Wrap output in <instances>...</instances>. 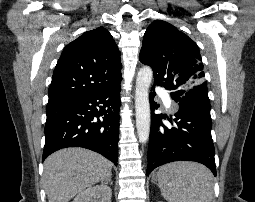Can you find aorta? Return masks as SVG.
<instances>
[{
	"instance_id": "762f6f07",
	"label": "aorta",
	"mask_w": 255,
	"mask_h": 202,
	"mask_svg": "<svg viewBox=\"0 0 255 202\" xmlns=\"http://www.w3.org/2000/svg\"><path fill=\"white\" fill-rule=\"evenodd\" d=\"M153 71L149 66L142 67L137 75L135 89L136 128L139 141L146 143L150 135V104L149 87L152 82Z\"/></svg>"
}]
</instances>
